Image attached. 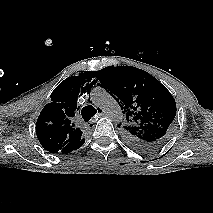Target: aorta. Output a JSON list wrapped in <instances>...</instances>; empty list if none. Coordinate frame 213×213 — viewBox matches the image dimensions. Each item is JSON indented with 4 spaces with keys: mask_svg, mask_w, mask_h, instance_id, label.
Masks as SVG:
<instances>
[{
    "mask_svg": "<svg viewBox=\"0 0 213 213\" xmlns=\"http://www.w3.org/2000/svg\"><path fill=\"white\" fill-rule=\"evenodd\" d=\"M92 102L102 109L106 116L115 123L123 119V113L117 101L103 88L96 87L91 92Z\"/></svg>",
    "mask_w": 213,
    "mask_h": 213,
    "instance_id": "aorta-1",
    "label": "aorta"
}]
</instances>
